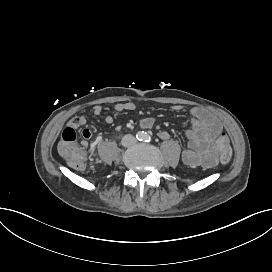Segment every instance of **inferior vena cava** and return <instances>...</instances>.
Returning <instances> with one entry per match:
<instances>
[{
	"instance_id": "obj_1",
	"label": "inferior vena cava",
	"mask_w": 272,
	"mask_h": 272,
	"mask_svg": "<svg viewBox=\"0 0 272 272\" xmlns=\"http://www.w3.org/2000/svg\"><path fill=\"white\" fill-rule=\"evenodd\" d=\"M136 143V139L134 136L127 134L122 139V144L125 147L133 146Z\"/></svg>"
}]
</instances>
